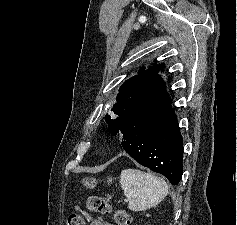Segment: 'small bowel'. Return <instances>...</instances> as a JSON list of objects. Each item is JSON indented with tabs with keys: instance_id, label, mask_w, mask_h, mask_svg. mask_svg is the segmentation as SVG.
Here are the masks:
<instances>
[{
	"instance_id": "obj_1",
	"label": "small bowel",
	"mask_w": 237,
	"mask_h": 225,
	"mask_svg": "<svg viewBox=\"0 0 237 225\" xmlns=\"http://www.w3.org/2000/svg\"><path fill=\"white\" fill-rule=\"evenodd\" d=\"M90 225H112V224L102 219H93L90 221Z\"/></svg>"
}]
</instances>
